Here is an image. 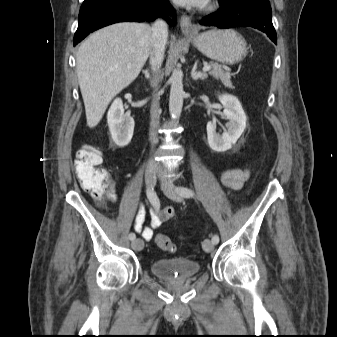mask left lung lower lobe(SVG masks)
<instances>
[{"label": "left lung lower lobe", "mask_w": 337, "mask_h": 337, "mask_svg": "<svg viewBox=\"0 0 337 337\" xmlns=\"http://www.w3.org/2000/svg\"><path fill=\"white\" fill-rule=\"evenodd\" d=\"M221 8L201 21V25L232 27H253L268 35L276 44L277 36L272 24L269 0H226L220 1Z\"/></svg>", "instance_id": "obj_1"}]
</instances>
